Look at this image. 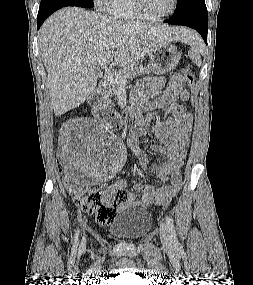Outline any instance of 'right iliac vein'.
<instances>
[{
	"label": "right iliac vein",
	"mask_w": 253,
	"mask_h": 285,
	"mask_svg": "<svg viewBox=\"0 0 253 285\" xmlns=\"http://www.w3.org/2000/svg\"><path fill=\"white\" fill-rule=\"evenodd\" d=\"M85 247H86V239H85V237H83L79 249L83 250Z\"/></svg>",
	"instance_id": "1"
}]
</instances>
